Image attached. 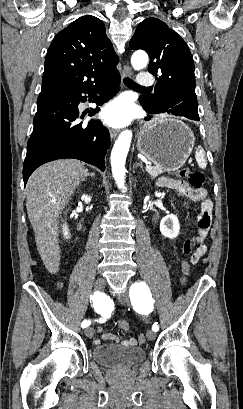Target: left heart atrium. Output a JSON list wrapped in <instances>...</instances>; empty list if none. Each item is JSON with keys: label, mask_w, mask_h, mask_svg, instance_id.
Masks as SVG:
<instances>
[{"label": "left heart atrium", "mask_w": 243, "mask_h": 409, "mask_svg": "<svg viewBox=\"0 0 243 409\" xmlns=\"http://www.w3.org/2000/svg\"><path fill=\"white\" fill-rule=\"evenodd\" d=\"M132 118V107L130 103L119 98L109 103L102 112L104 122L113 127H121L129 123Z\"/></svg>", "instance_id": "obj_1"}]
</instances>
